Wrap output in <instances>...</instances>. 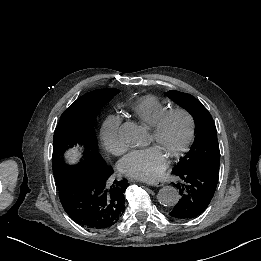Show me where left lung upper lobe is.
Returning a JSON list of instances; mask_svg holds the SVG:
<instances>
[{
    "mask_svg": "<svg viewBox=\"0 0 261 261\" xmlns=\"http://www.w3.org/2000/svg\"><path fill=\"white\" fill-rule=\"evenodd\" d=\"M166 94L191 113L196 124L193 145L173 170L198 168L219 173L220 151L216 126L208 110L190 94L173 90Z\"/></svg>",
    "mask_w": 261,
    "mask_h": 261,
    "instance_id": "1",
    "label": "left lung upper lobe"
}]
</instances>
